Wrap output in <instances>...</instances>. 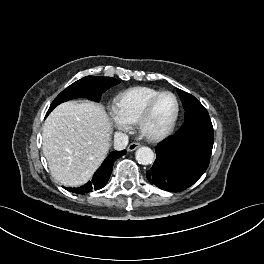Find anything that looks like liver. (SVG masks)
I'll return each mask as SVG.
<instances>
[{"label": "liver", "mask_w": 264, "mask_h": 264, "mask_svg": "<svg viewBox=\"0 0 264 264\" xmlns=\"http://www.w3.org/2000/svg\"><path fill=\"white\" fill-rule=\"evenodd\" d=\"M112 124L102 106L68 101L43 125V153L52 176L64 186L85 184L105 159Z\"/></svg>", "instance_id": "1"}]
</instances>
